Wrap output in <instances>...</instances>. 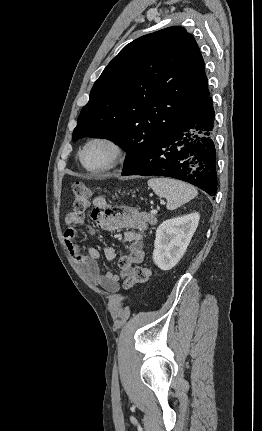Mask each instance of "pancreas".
Here are the masks:
<instances>
[{"mask_svg":"<svg viewBox=\"0 0 262 431\" xmlns=\"http://www.w3.org/2000/svg\"><path fill=\"white\" fill-rule=\"evenodd\" d=\"M153 219H154L153 215H148V216L146 217L145 221H146V222H149V223H153Z\"/></svg>","mask_w":262,"mask_h":431,"instance_id":"pancreas-1","label":"pancreas"}]
</instances>
